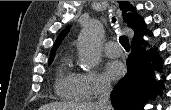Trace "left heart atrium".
Returning a JSON list of instances; mask_svg holds the SVG:
<instances>
[{"label": "left heart atrium", "instance_id": "obj_1", "mask_svg": "<svg viewBox=\"0 0 171 110\" xmlns=\"http://www.w3.org/2000/svg\"><path fill=\"white\" fill-rule=\"evenodd\" d=\"M124 73V67L119 61H111L106 64L105 74L111 80L120 78Z\"/></svg>", "mask_w": 171, "mask_h": 110}]
</instances>
